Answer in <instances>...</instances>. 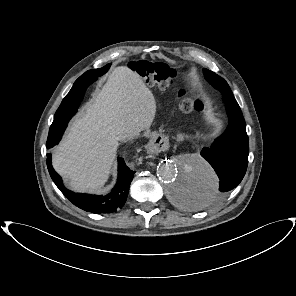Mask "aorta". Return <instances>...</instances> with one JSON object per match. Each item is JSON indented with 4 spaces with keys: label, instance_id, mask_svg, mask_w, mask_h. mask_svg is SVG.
Instances as JSON below:
<instances>
[{
    "label": "aorta",
    "instance_id": "762f6f07",
    "mask_svg": "<svg viewBox=\"0 0 296 296\" xmlns=\"http://www.w3.org/2000/svg\"><path fill=\"white\" fill-rule=\"evenodd\" d=\"M157 175L166 184L168 197L183 207L202 209L216 197L218 176L200 156L185 155L178 162L162 161Z\"/></svg>",
    "mask_w": 296,
    "mask_h": 296
}]
</instances>
